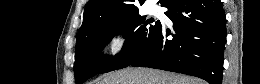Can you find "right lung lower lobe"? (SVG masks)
I'll return each instance as SVG.
<instances>
[{"mask_svg":"<svg viewBox=\"0 0 260 84\" xmlns=\"http://www.w3.org/2000/svg\"><path fill=\"white\" fill-rule=\"evenodd\" d=\"M165 14L175 34L161 25L151 46L131 66L184 73L222 84L226 17L220 0H172Z\"/></svg>","mask_w":260,"mask_h":84,"instance_id":"right-lung-lower-lobe-1","label":"right lung lower lobe"}]
</instances>
